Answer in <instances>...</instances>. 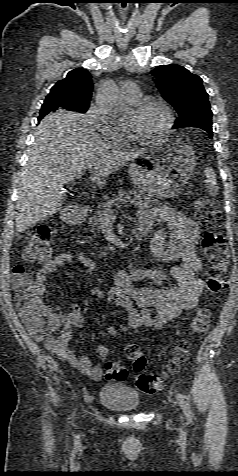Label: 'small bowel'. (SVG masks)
<instances>
[{"label":"small bowel","instance_id":"1","mask_svg":"<svg viewBox=\"0 0 238 476\" xmlns=\"http://www.w3.org/2000/svg\"><path fill=\"white\" fill-rule=\"evenodd\" d=\"M138 229L145 234L152 232L150 252L154 258L165 263L178 260L183 263L168 271L129 266L115 274L114 286L107 294V302L124 310L126 319L120 328L122 332L140 327L162 328L184 311L196 307L204 290V282L198 276L201 262L196 252L200 232L190 218L177 210L160 206L139 213ZM74 260L82 265L86 274H91L95 269L94 261L84 253H59L37 270L35 285L38 295L48 293L47 281L51 273ZM142 280H150L152 285L135 287V282ZM46 310L50 330L67 329L70 332L67 340L53 350L83 375L92 380L101 379L102 367L92 366L87 356L76 355L68 346L71 327L80 328L84 322L81 306L71 303L70 311L65 313L51 312L47 307ZM105 333L115 337L118 331L107 328ZM97 352L103 360L109 355L105 345H99Z\"/></svg>","mask_w":238,"mask_h":476}]
</instances>
